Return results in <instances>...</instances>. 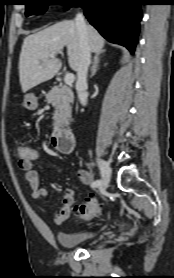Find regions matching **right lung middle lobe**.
Listing matches in <instances>:
<instances>
[{"label":"right lung middle lobe","mask_w":174,"mask_h":278,"mask_svg":"<svg viewBox=\"0 0 174 278\" xmlns=\"http://www.w3.org/2000/svg\"><path fill=\"white\" fill-rule=\"evenodd\" d=\"M56 0H26L25 6H26V16L33 15V14H42L46 11L48 5H50V2H53ZM63 5H66L68 7H71L75 5L78 0H63Z\"/></svg>","instance_id":"obj_1"}]
</instances>
